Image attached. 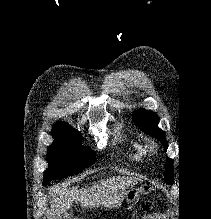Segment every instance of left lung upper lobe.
I'll use <instances>...</instances> for the list:
<instances>
[{"label": "left lung upper lobe", "instance_id": "obj_1", "mask_svg": "<svg viewBox=\"0 0 211 219\" xmlns=\"http://www.w3.org/2000/svg\"><path fill=\"white\" fill-rule=\"evenodd\" d=\"M133 122L142 131L161 141L165 150H167L168 143L165 140V132L158 128V116L154 112L140 109L134 112ZM164 179L167 184H171L173 181V161L169 158L164 173Z\"/></svg>", "mask_w": 211, "mask_h": 219}]
</instances>
